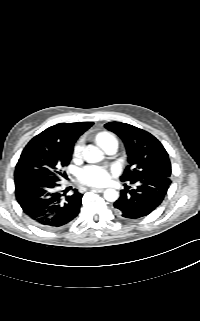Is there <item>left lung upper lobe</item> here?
<instances>
[{
    "mask_svg": "<svg viewBox=\"0 0 200 321\" xmlns=\"http://www.w3.org/2000/svg\"><path fill=\"white\" fill-rule=\"evenodd\" d=\"M105 127L120 136L126 146L129 165L121 176L122 181L151 176L170 177L171 164L168 153L152 134L120 122H109Z\"/></svg>",
    "mask_w": 200,
    "mask_h": 321,
    "instance_id": "obj_1",
    "label": "left lung upper lobe"
}]
</instances>
